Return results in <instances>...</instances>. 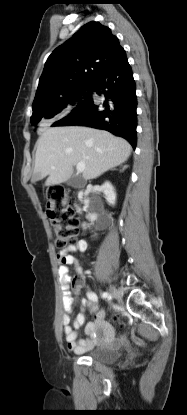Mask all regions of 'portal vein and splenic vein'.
Returning a JSON list of instances; mask_svg holds the SVG:
<instances>
[{"label":"portal vein and splenic vein","instance_id":"obj_1","mask_svg":"<svg viewBox=\"0 0 187 415\" xmlns=\"http://www.w3.org/2000/svg\"><path fill=\"white\" fill-rule=\"evenodd\" d=\"M76 168H77V172H83L84 171V169H85V164H84V162H79L78 164H77V166H76Z\"/></svg>","mask_w":187,"mask_h":415}]
</instances>
